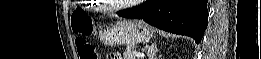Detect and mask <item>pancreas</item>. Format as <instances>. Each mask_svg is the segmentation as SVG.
I'll return each instance as SVG.
<instances>
[{
    "label": "pancreas",
    "instance_id": "obj_1",
    "mask_svg": "<svg viewBox=\"0 0 261 59\" xmlns=\"http://www.w3.org/2000/svg\"><path fill=\"white\" fill-rule=\"evenodd\" d=\"M134 46H127L124 54H123V59H136L137 57L134 55Z\"/></svg>",
    "mask_w": 261,
    "mask_h": 59
}]
</instances>
